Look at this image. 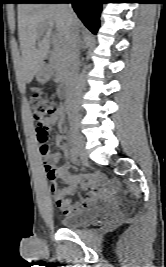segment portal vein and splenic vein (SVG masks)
I'll return each mask as SVG.
<instances>
[{
    "mask_svg": "<svg viewBox=\"0 0 166 267\" xmlns=\"http://www.w3.org/2000/svg\"><path fill=\"white\" fill-rule=\"evenodd\" d=\"M56 43H57V45L62 44V40L60 39L59 35L56 37Z\"/></svg>",
    "mask_w": 166,
    "mask_h": 267,
    "instance_id": "obj_1",
    "label": "portal vein and splenic vein"
}]
</instances>
